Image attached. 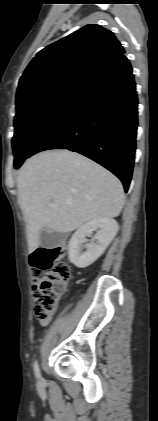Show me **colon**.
<instances>
[{
	"label": "colon",
	"instance_id": "1",
	"mask_svg": "<svg viewBox=\"0 0 158 421\" xmlns=\"http://www.w3.org/2000/svg\"><path fill=\"white\" fill-rule=\"evenodd\" d=\"M66 252L64 245L41 247L30 255L33 290V312L39 320L50 318L71 278L67 263L59 261Z\"/></svg>",
	"mask_w": 158,
	"mask_h": 421
}]
</instances>
